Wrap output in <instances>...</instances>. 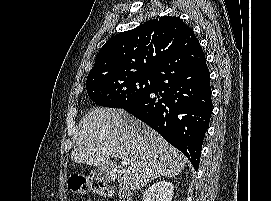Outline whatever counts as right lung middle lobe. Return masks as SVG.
I'll list each match as a JSON object with an SVG mask.
<instances>
[{
  "label": "right lung middle lobe",
  "mask_w": 271,
  "mask_h": 201,
  "mask_svg": "<svg viewBox=\"0 0 271 201\" xmlns=\"http://www.w3.org/2000/svg\"><path fill=\"white\" fill-rule=\"evenodd\" d=\"M154 74L122 73L87 78L89 97L100 106L120 108L153 86Z\"/></svg>",
  "instance_id": "right-lung-middle-lobe-1"
}]
</instances>
